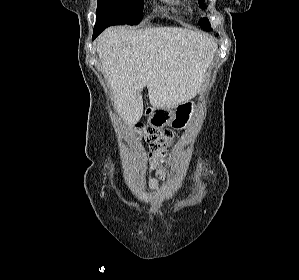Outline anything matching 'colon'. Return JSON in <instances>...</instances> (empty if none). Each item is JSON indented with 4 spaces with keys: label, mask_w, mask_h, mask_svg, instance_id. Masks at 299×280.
Returning <instances> with one entry per match:
<instances>
[{
    "label": "colon",
    "mask_w": 299,
    "mask_h": 280,
    "mask_svg": "<svg viewBox=\"0 0 299 280\" xmlns=\"http://www.w3.org/2000/svg\"><path fill=\"white\" fill-rule=\"evenodd\" d=\"M135 132L141 134L146 139L154 160L161 161L164 157L165 150L172 139L171 131L137 126Z\"/></svg>",
    "instance_id": "obj_1"
}]
</instances>
